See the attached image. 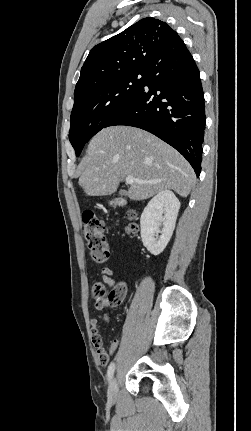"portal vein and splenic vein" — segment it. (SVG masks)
<instances>
[{"label":"portal vein and splenic vein","instance_id":"18ae733b","mask_svg":"<svg viewBox=\"0 0 251 431\" xmlns=\"http://www.w3.org/2000/svg\"><path fill=\"white\" fill-rule=\"evenodd\" d=\"M139 183V184H146V183H152L151 181H143V180H140V179H136L135 177H133V176H127L126 177V183L127 184H133V183Z\"/></svg>","mask_w":251,"mask_h":431}]
</instances>
